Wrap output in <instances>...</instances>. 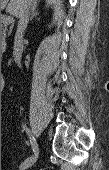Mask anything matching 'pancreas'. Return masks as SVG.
<instances>
[{"instance_id":"pancreas-1","label":"pancreas","mask_w":109,"mask_h":170,"mask_svg":"<svg viewBox=\"0 0 109 170\" xmlns=\"http://www.w3.org/2000/svg\"><path fill=\"white\" fill-rule=\"evenodd\" d=\"M6 31H7L6 25L1 23V41L3 46H5Z\"/></svg>"}]
</instances>
